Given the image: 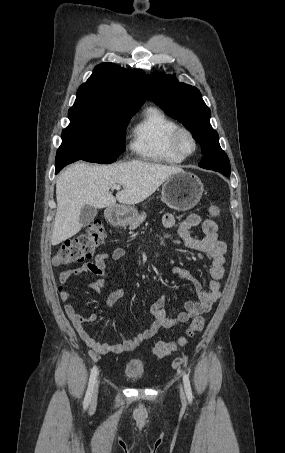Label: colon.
<instances>
[{
	"label": "colon",
	"mask_w": 285,
	"mask_h": 453,
	"mask_svg": "<svg viewBox=\"0 0 285 453\" xmlns=\"http://www.w3.org/2000/svg\"><path fill=\"white\" fill-rule=\"evenodd\" d=\"M211 217H218L221 215L219 206L212 204L208 208ZM105 238V231L103 224L99 220H94L89 224L86 231L76 237L66 240L56 255L53 262L55 265H70L84 259L90 258L97 246H99ZM204 326V319L200 316L193 319L187 328L185 335L176 341L158 342L154 348L153 353L158 358H164L176 351L179 347L183 346L188 337L194 336L200 332Z\"/></svg>",
	"instance_id": "colon-1"
}]
</instances>
